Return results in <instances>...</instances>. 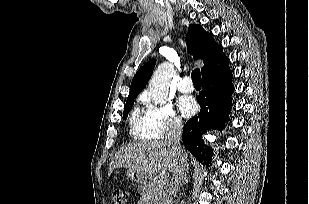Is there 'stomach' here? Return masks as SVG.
Wrapping results in <instances>:
<instances>
[{
	"label": "stomach",
	"mask_w": 309,
	"mask_h": 204,
	"mask_svg": "<svg viewBox=\"0 0 309 204\" xmlns=\"http://www.w3.org/2000/svg\"><path fill=\"white\" fill-rule=\"evenodd\" d=\"M125 175L131 181L137 182L141 185H146L152 180L151 176L144 175L131 169H127Z\"/></svg>",
	"instance_id": "obj_1"
}]
</instances>
